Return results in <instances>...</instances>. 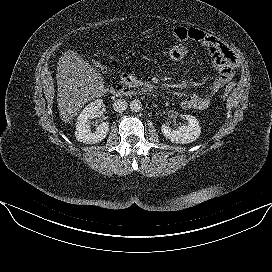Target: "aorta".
Masks as SVG:
<instances>
[{"label": "aorta", "mask_w": 272, "mask_h": 272, "mask_svg": "<svg viewBox=\"0 0 272 272\" xmlns=\"http://www.w3.org/2000/svg\"><path fill=\"white\" fill-rule=\"evenodd\" d=\"M130 109L132 112H139L142 108V103L138 99H134L130 102Z\"/></svg>", "instance_id": "aorta-1"}]
</instances>
